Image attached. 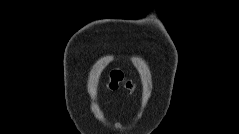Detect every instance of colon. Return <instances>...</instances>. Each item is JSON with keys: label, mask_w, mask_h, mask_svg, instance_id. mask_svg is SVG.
I'll list each match as a JSON object with an SVG mask.
<instances>
[{"label": "colon", "mask_w": 239, "mask_h": 134, "mask_svg": "<svg viewBox=\"0 0 239 134\" xmlns=\"http://www.w3.org/2000/svg\"><path fill=\"white\" fill-rule=\"evenodd\" d=\"M109 87L113 90H116L120 87L131 89V84L130 82L124 80L120 71H113L110 74Z\"/></svg>", "instance_id": "5ec220e1"}]
</instances>
